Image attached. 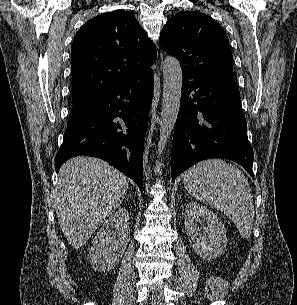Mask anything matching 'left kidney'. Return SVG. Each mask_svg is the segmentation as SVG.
Segmentation results:
<instances>
[{"label":"left kidney","mask_w":297,"mask_h":305,"mask_svg":"<svg viewBox=\"0 0 297 305\" xmlns=\"http://www.w3.org/2000/svg\"><path fill=\"white\" fill-rule=\"evenodd\" d=\"M202 222H206L207 226L199 228L197 224ZM184 224L191 246L200 258L211 260L224 252L227 246L224 224L209 209L196 202H190L185 208Z\"/></svg>","instance_id":"1"}]
</instances>
